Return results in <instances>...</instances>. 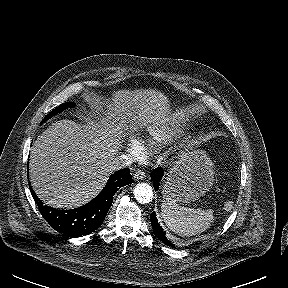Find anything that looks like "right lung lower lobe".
<instances>
[{
    "label": "right lung lower lobe",
    "instance_id": "obj_1",
    "mask_svg": "<svg viewBox=\"0 0 288 288\" xmlns=\"http://www.w3.org/2000/svg\"><path fill=\"white\" fill-rule=\"evenodd\" d=\"M131 183L129 168L119 170L109 177L106 186L92 201L70 210H58L43 205L31 187L30 190L42 216L56 231L69 237H78L89 234L102 225L116 191Z\"/></svg>",
    "mask_w": 288,
    "mask_h": 288
}]
</instances>
